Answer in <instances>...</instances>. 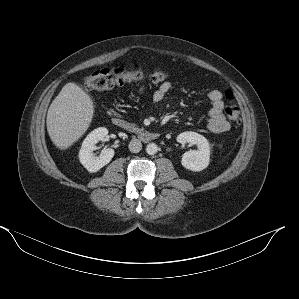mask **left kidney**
I'll return each instance as SVG.
<instances>
[{
    "label": "left kidney",
    "instance_id": "1",
    "mask_svg": "<svg viewBox=\"0 0 299 299\" xmlns=\"http://www.w3.org/2000/svg\"><path fill=\"white\" fill-rule=\"evenodd\" d=\"M177 142L181 144L189 143L196 145L198 150H190L183 154L181 164L191 171H202L206 169L210 162V145L208 140L196 132L186 131L177 136Z\"/></svg>",
    "mask_w": 299,
    "mask_h": 299
}]
</instances>
